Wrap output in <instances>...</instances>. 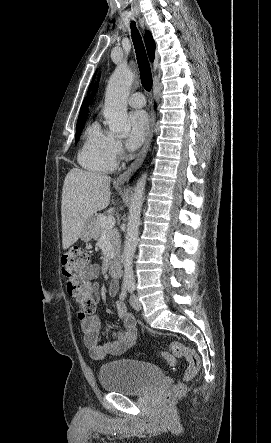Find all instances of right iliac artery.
<instances>
[{
	"label": "right iliac artery",
	"mask_w": 271,
	"mask_h": 443,
	"mask_svg": "<svg viewBox=\"0 0 271 443\" xmlns=\"http://www.w3.org/2000/svg\"><path fill=\"white\" fill-rule=\"evenodd\" d=\"M127 289L128 288H126V286H124L122 288V291H121V294H120V300H124L126 298V296H127Z\"/></svg>",
	"instance_id": "right-iliac-artery-1"
}]
</instances>
